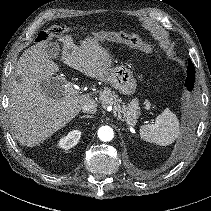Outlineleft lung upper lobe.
Masks as SVG:
<instances>
[{
    "instance_id": "1",
    "label": "left lung upper lobe",
    "mask_w": 211,
    "mask_h": 211,
    "mask_svg": "<svg viewBox=\"0 0 211 211\" xmlns=\"http://www.w3.org/2000/svg\"><path fill=\"white\" fill-rule=\"evenodd\" d=\"M189 66H188V76L185 82V86L187 87L188 90H192L194 87V79H195V68L191 60L188 61Z\"/></svg>"
}]
</instances>
